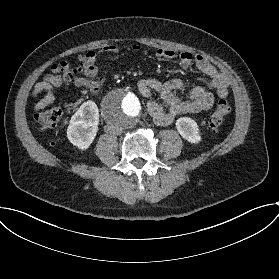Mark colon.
<instances>
[{
	"label": "colon",
	"mask_w": 279,
	"mask_h": 279,
	"mask_svg": "<svg viewBox=\"0 0 279 279\" xmlns=\"http://www.w3.org/2000/svg\"><path fill=\"white\" fill-rule=\"evenodd\" d=\"M51 70L54 73L61 74L65 79L70 78L81 72V67L72 65L70 62H61L51 66ZM231 104L226 99H221L217 103V108L208 119V128L211 130L217 129L222 125L227 115L230 113ZM60 110L55 107H48L44 110H40L35 114V120L42 129L49 130L54 128L59 119Z\"/></svg>",
	"instance_id": "colon-1"
}]
</instances>
